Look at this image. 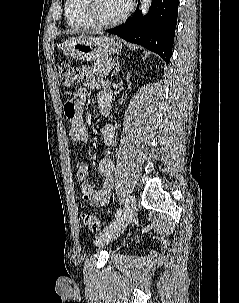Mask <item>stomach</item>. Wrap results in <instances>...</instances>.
Returning <instances> with one entry per match:
<instances>
[{"label":"stomach","mask_w":239,"mask_h":303,"mask_svg":"<svg viewBox=\"0 0 239 303\" xmlns=\"http://www.w3.org/2000/svg\"><path fill=\"white\" fill-rule=\"evenodd\" d=\"M122 45L113 37L80 36L71 38L64 43V53L76 60H108L115 53H119Z\"/></svg>","instance_id":"obj_1"}]
</instances>
